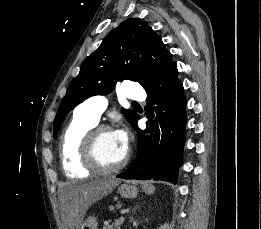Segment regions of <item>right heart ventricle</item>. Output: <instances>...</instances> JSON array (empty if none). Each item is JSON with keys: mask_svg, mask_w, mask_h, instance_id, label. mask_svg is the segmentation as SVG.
<instances>
[{"mask_svg": "<svg viewBox=\"0 0 261 229\" xmlns=\"http://www.w3.org/2000/svg\"><path fill=\"white\" fill-rule=\"evenodd\" d=\"M79 106L74 109L73 116L61 135L59 156L66 173L85 175L89 174L91 169L83 158V144L96 124L84 116Z\"/></svg>", "mask_w": 261, "mask_h": 229, "instance_id": "obj_1", "label": "right heart ventricle"}]
</instances>
